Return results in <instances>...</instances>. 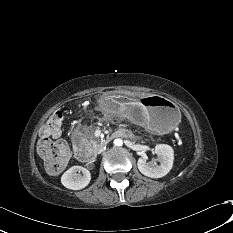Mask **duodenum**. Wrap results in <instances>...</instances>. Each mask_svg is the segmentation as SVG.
<instances>
[{"mask_svg": "<svg viewBox=\"0 0 233 233\" xmlns=\"http://www.w3.org/2000/svg\"><path fill=\"white\" fill-rule=\"evenodd\" d=\"M115 136L127 137L128 133L125 130H118L115 133ZM75 154L77 159L82 162H90L94 158L92 151L86 149L81 145H75Z\"/></svg>", "mask_w": 233, "mask_h": 233, "instance_id": "obj_1", "label": "duodenum"}]
</instances>
